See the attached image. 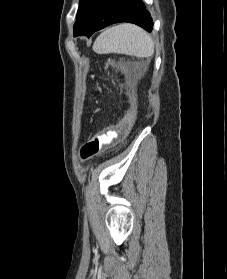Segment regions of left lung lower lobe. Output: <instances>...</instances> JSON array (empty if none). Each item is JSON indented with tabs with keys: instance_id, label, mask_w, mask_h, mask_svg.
<instances>
[{
	"instance_id": "1",
	"label": "left lung lower lobe",
	"mask_w": 227,
	"mask_h": 279,
	"mask_svg": "<svg viewBox=\"0 0 227 279\" xmlns=\"http://www.w3.org/2000/svg\"><path fill=\"white\" fill-rule=\"evenodd\" d=\"M119 22L135 23L148 32L153 29L152 18L142 0H93L74 36L90 37L95 31Z\"/></svg>"
}]
</instances>
